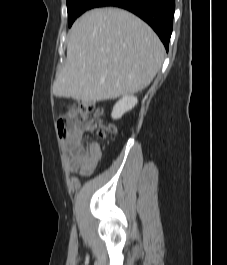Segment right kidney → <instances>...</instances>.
I'll return each mask as SVG.
<instances>
[{"mask_svg": "<svg viewBox=\"0 0 227 265\" xmlns=\"http://www.w3.org/2000/svg\"><path fill=\"white\" fill-rule=\"evenodd\" d=\"M138 100L133 95H126L120 99L114 106L112 111L113 119H120L124 113L130 111L137 104Z\"/></svg>", "mask_w": 227, "mask_h": 265, "instance_id": "1", "label": "right kidney"}]
</instances>
